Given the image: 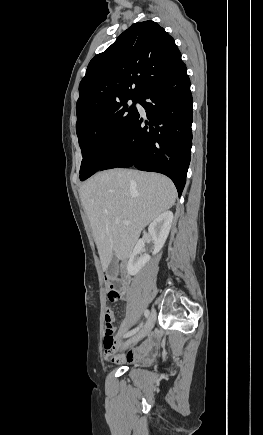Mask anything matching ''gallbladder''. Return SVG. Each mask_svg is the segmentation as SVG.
<instances>
[{"label":"gallbladder","instance_id":"bac80fb5","mask_svg":"<svg viewBox=\"0 0 263 435\" xmlns=\"http://www.w3.org/2000/svg\"><path fill=\"white\" fill-rule=\"evenodd\" d=\"M106 273L110 277H115L119 273V263L116 256H113L111 262L109 263V266L107 267Z\"/></svg>","mask_w":263,"mask_h":435}]
</instances>
